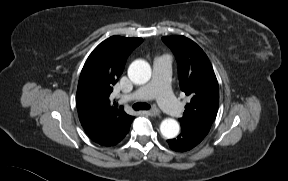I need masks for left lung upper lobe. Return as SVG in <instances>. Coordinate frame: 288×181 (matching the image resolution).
Masks as SVG:
<instances>
[{
	"mask_svg": "<svg viewBox=\"0 0 288 181\" xmlns=\"http://www.w3.org/2000/svg\"><path fill=\"white\" fill-rule=\"evenodd\" d=\"M162 40L178 60L181 90L191 97L180 123L210 129L218 111L219 90L208 57L184 36H165Z\"/></svg>",
	"mask_w": 288,
	"mask_h": 181,
	"instance_id": "obj_1",
	"label": "left lung upper lobe"
}]
</instances>
